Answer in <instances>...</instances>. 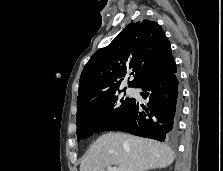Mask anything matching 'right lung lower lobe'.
Segmentation results:
<instances>
[{"instance_id": "right-lung-lower-lobe-1", "label": "right lung lower lobe", "mask_w": 223, "mask_h": 171, "mask_svg": "<svg viewBox=\"0 0 223 171\" xmlns=\"http://www.w3.org/2000/svg\"><path fill=\"white\" fill-rule=\"evenodd\" d=\"M176 72V64L172 59L145 79L136 87L144 91L141 95L149 101L145 111L139 112V104L134 100L127 112L104 131H124L159 141L173 140L179 114Z\"/></svg>"}]
</instances>
